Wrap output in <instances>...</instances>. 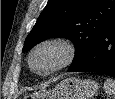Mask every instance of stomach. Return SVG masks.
<instances>
[{"mask_svg":"<svg viewBox=\"0 0 115 99\" xmlns=\"http://www.w3.org/2000/svg\"><path fill=\"white\" fill-rule=\"evenodd\" d=\"M99 85L91 79L75 77L60 81L52 89H44L27 96L31 99H89L97 94Z\"/></svg>","mask_w":115,"mask_h":99,"instance_id":"stomach-1","label":"stomach"}]
</instances>
